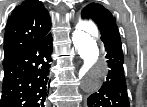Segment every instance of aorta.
Wrapping results in <instances>:
<instances>
[{
	"mask_svg": "<svg viewBox=\"0 0 147 107\" xmlns=\"http://www.w3.org/2000/svg\"><path fill=\"white\" fill-rule=\"evenodd\" d=\"M96 35V27L87 22L81 23L72 34L74 47L84 61L79 76L86 92L98 90L108 72L106 60L99 52Z\"/></svg>",
	"mask_w": 147,
	"mask_h": 107,
	"instance_id": "aorta-1",
	"label": "aorta"
}]
</instances>
